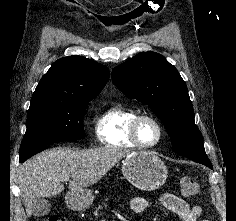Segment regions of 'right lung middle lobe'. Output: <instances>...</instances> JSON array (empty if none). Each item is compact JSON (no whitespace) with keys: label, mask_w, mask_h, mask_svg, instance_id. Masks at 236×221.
Returning <instances> with one entry per match:
<instances>
[{"label":"right lung middle lobe","mask_w":236,"mask_h":221,"mask_svg":"<svg viewBox=\"0 0 236 221\" xmlns=\"http://www.w3.org/2000/svg\"><path fill=\"white\" fill-rule=\"evenodd\" d=\"M90 100H31L20 153L61 141L84 138L83 117Z\"/></svg>","instance_id":"dd1d6c3e"}]
</instances>
